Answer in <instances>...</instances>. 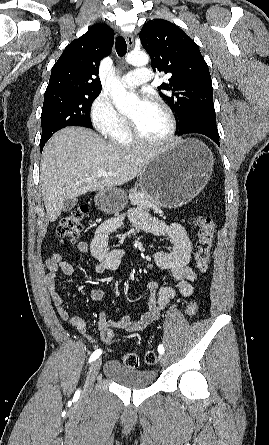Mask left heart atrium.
<instances>
[{
	"instance_id": "obj_1",
	"label": "left heart atrium",
	"mask_w": 269,
	"mask_h": 445,
	"mask_svg": "<svg viewBox=\"0 0 269 445\" xmlns=\"http://www.w3.org/2000/svg\"><path fill=\"white\" fill-rule=\"evenodd\" d=\"M149 103V101H147L146 99H142L141 101H140V104L142 105V106H145V105H147Z\"/></svg>"
}]
</instances>
